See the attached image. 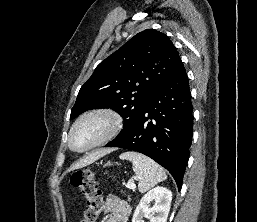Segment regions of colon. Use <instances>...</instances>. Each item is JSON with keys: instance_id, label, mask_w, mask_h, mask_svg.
<instances>
[{"instance_id": "colon-1", "label": "colon", "mask_w": 257, "mask_h": 222, "mask_svg": "<svg viewBox=\"0 0 257 222\" xmlns=\"http://www.w3.org/2000/svg\"><path fill=\"white\" fill-rule=\"evenodd\" d=\"M73 187L80 190L86 201V208L80 222H96L103 209L101 191L95 181V173L90 169L75 171L70 177Z\"/></svg>"}]
</instances>
